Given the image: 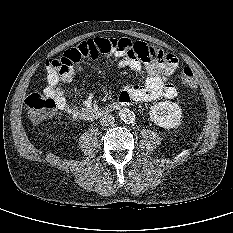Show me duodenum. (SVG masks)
Masks as SVG:
<instances>
[{
  "mask_svg": "<svg viewBox=\"0 0 233 233\" xmlns=\"http://www.w3.org/2000/svg\"><path fill=\"white\" fill-rule=\"evenodd\" d=\"M118 106L117 103H113V104H110L109 106H107L105 108V110H111V109H114ZM104 110L101 109V108H91L88 112V117H95V116H98L100 115Z\"/></svg>",
  "mask_w": 233,
  "mask_h": 233,
  "instance_id": "duodenum-1",
  "label": "duodenum"
}]
</instances>
